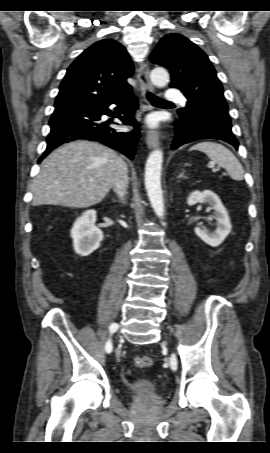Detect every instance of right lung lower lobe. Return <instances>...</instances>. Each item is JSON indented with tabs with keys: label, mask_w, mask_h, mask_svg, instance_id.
<instances>
[{
	"label": "right lung lower lobe",
	"mask_w": 270,
	"mask_h": 453,
	"mask_svg": "<svg viewBox=\"0 0 270 453\" xmlns=\"http://www.w3.org/2000/svg\"><path fill=\"white\" fill-rule=\"evenodd\" d=\"M112 104L118 106L115 112L109 108ZM137 107V99L130 88L107 101L55 108L49 121L51 131L47 137V148L38 162L59 145L77 139L98 141L133 159L139 139L134 118ZM114 114L135 129L127 133L118 132L109 126V121H101L102 115Z\"/></svg>",
	"instance_id": "right-lung-lower-lobe-1"
}]
</instances>
